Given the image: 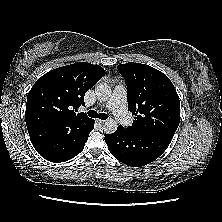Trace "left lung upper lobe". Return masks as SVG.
Listing matches in <instances>:
<instances>
[{"label":"left lung upper lobe","mask_w":222,"mask_h":222,"mask_svg":"<svg viewBox=\"0 0 222 222\" xmlns=\"http://www.w3.org/2000/svg\"><path fill=\"white\" fill-rule=\"evenodd\" d=\"M117 69L127 85L128 110L136 116L125 129L173 137L180 122V100L169 78L146 64L130 62Z\"/></svg>","instance_id":"1"}]
</instances>
